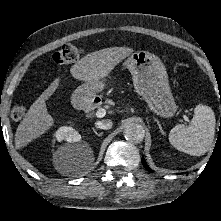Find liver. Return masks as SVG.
<instances>
[{"instance_id": "1", "label": "liver", "mask_w": 221, "mask_h": 221, "mask_svg": "<svg viewBox=\"0 0 221 221\" xmlns=\"http://www.w3.org/2000/svg\"><path fill=\"white\" fill-rule=\"evenodd\" d=\"M133 53L128 47H111L87 54L70 68L71 75L84 82L105 78L122 60ZM60 78H56L49 87L30 106L19 124L15 134L17 148L28 145L40 137L54 124V118L48 113V100L59 86Z\"/></svg>"}]
</instances>
